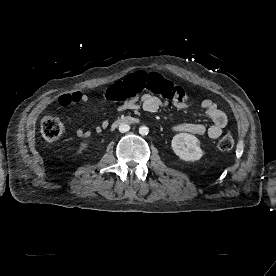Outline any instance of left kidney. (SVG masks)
<instances>
[{
    "label": "left kidney",
    "mask_w": 276,
    "mask_h": 276,
    "mask_svg": "<svg viewBox=\"0 0 276 276\" xmlns=\"http://www.w3.org/2000/svg\"><path fill=\"white\" fill-rule=\"evenodd\" d=\"M174 153L184 161H197L203 156L200 141L189 133L175 135L171 142Z\"/></svg>",
    "instance_id": "left-kidney-1"
}]
</instances>
